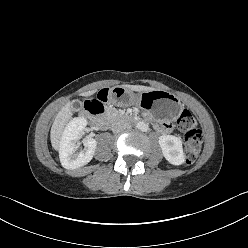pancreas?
I'll use <instances>...</instances> for the list:
<instances>
[{
	"instance_id": "pancreas-1",
	"label": "pancreas",
	"mask_w": 248,
	"mask_h": 248,
	"mask_svg": "<svg viewBox=\"0 0 248 248\" xmlns=\"http://www.w3.org/2000/svg\"><path fill=\"white\" fill-rule=\"evenodd\" d=\"M108 115L112 118L118 115V111L116 109H108Z\"/></svg>"
}]
</instances>
